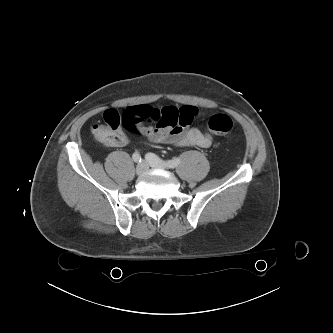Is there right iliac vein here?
Here are the masks:
<instances>
[{
  "label": "right iliac vein",
  "mask_w": 333,
  "mask_h": 333,
  "mask_svg": "<svg viewBox=\"0 0 333 333\" xmlns=\"http://www.w3.org/2000/svg\"><path fill=\"white\" fill-rule=\"evenodd\" d=\"M146 169H147V164H146V162L143 161L137 165L136 174L143 175V173L145 172Z\"/></svg>",
  "instance_id": "right-iliac-vein-1"
}]
</instances>
